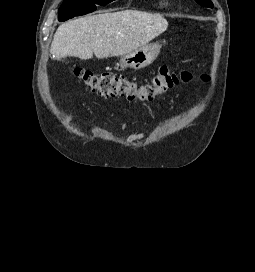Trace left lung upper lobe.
I'll use <instances>...</instances> for the list:
<instances>
[{
	"label": "left lung upper lobe",
	"mask_w": 255,
	"mask_h": 272,
	"mask_svg": "<svg viewBox=\"0 0 255 272\" xmlns=\"http://www.w3.org/2000/svg\"><path fill=\"white\" fill-rule=\"evenodd\" d=\"M196 2L203 7H213V3L210 0H196Z\"/></svg>",
	"instance_id": "5c2ea615"
}]
</instances>
